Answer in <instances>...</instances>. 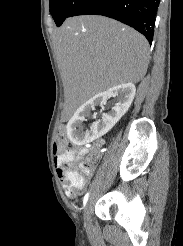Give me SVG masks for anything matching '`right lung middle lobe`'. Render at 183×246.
Wrapping results in <instances>:
<instances>
[{
  "instance_id": "right-lung-middle-lobe-1",
  "label": "right lung middle lobe",
  "mask_w": 183,
  "mask_h": 246,
  "mask_svg": "<svg viewBox=\"0 0 183 246\" xmlns=\"http://www.w3.org/2000/svg\"><path fill=\"white\" fill-rule=\"evenodd\" d=\"M79 0H50V13L57 26H60L67 18L71 9Z\"/></svg>"
}]
</instances>
